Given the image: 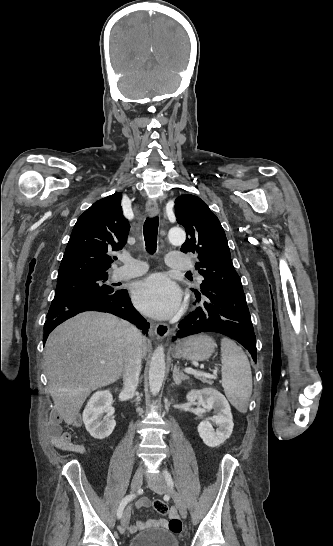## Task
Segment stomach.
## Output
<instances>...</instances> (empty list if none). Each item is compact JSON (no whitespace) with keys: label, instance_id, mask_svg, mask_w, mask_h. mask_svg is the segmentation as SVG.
Returning a JSON list of instances; mask_svg holds the SVG:
<instances>
[{"label":"stomach","instance_id":"0dacf381","mask_svg":"<svg viewBox=\"0 0 333 546\" xmlns=\"http://www.w3.org/2000/svg\"><path fill=\"white\" fill-rule=\"evenodd\" d=\"M215 346V341L208 335H194L176 346L175 356L177 358L203 361L210 358Z\"/></svg>","mask_w":333,"mask_h":546}]
</instances>
